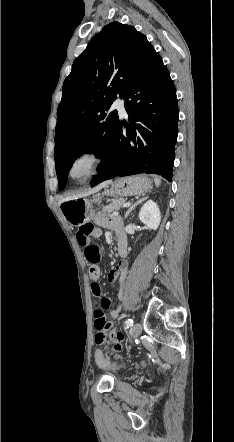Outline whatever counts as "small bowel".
<instances>
[{"label": "small bowel", "mask_w": 234, "mask_h": 442, "mask_svg": "<svg viewBox=\"0 0 234 442\" xmlns=\"http://www.w3.org/2000/svg\"><path fill=\"white\" fill-rule=\"evenodd\" d=\"M95 221L101 227H111L112 229H114L117 234V240L121 239L123 241V249L118 250L119 255L122 257V260L117 263V265L114 267V269L111 270L108 275V280L111 284H114L115 282L119 283L117 297L119 300H122L124 296L123 285L128 273V264L125 260V257L127 255V239L123 231V221L118 216H106L104 214H98ZM101 234V230L95 229L93 237L98 238L101 236ZM93 286L94 283L91 284V291L93 289ZM109 302L111 303L110 299ZM120 312L121 306H116L110 313L111 318H116L120 314ZM93 326L96 331L95 341L97 344L105 346H109L112 344V347L114 349H120L122 347V344L120 342H122L123 340V334L113 329V322L111 320L109 321L108 314H95ZM97 339L100 341H98ZM119 353L120 350H116V352L113 354V357L115 359L122 357V354Z\"/></svg>", "instance_id": "1"}]
</instances>
